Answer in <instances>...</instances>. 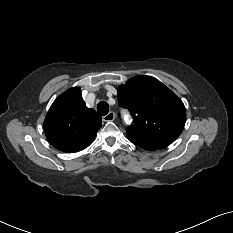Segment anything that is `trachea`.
Instances as JSON below:
<instances>
[{
	"label": "trachea",
	"instance_id": "obj_1",
	"mask_svg": "<svg viewBox=\"0 0 233 233\" xmlns=\"http://www.w3.org/2000/svg\"><path fill=\"white\" fill-rule=\"evenodd\" d=\"M97 111L100 115L105 116L109 112V105L106 101H101L97 105Z\"/></svg>",
	"mask_w": 233,
	"mask_h": 233
}]
</instances>
